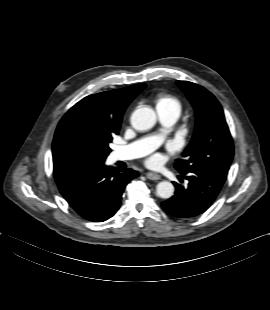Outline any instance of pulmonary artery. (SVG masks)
<instances>
[{
    "instance_id": "e3ab8cb5",
    "label": "pulmonary artery",
    "mask_w": 270,
    "mask_h": 310,
    "mask_svg": "<svg viewBox=\"0 0 270 310\" xmlns=\"http://www.w3.org/2000/svg\"><path fill=\"white\" fill-rule=\"evenodd\" d=\"M159 118L165 128H169L176 122L178 116L174 114L158 113ZM165 138V134L161 133L158 135L146 137L135 141L127 146L118 148L115 151L116 160H130L142 157L152 150H154L158 145H160Z\"/></svg>"
}]
</instances>
